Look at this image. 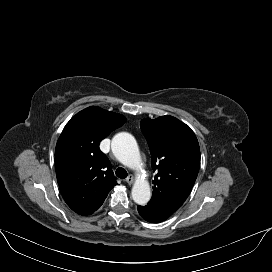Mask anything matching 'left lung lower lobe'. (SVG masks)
Listing matches in <instances>:
<instances>
[{
  "label": "left lung lower lobe",
  "mask_w": 272,
  "mask_h": 272,
  "mask_svg": "<svg viewBox=\"0 0 272 272\" xmlns=\"http://www.w3.org/2000/svg\"><path fill=\"white\" fill-rule=\"evenodd\" d=\"M139 214L148 222L159 223L168 218V216L161 214L149 206H138Z\"/></svg>",
  "instance_id": "1"
}]
</instances>
